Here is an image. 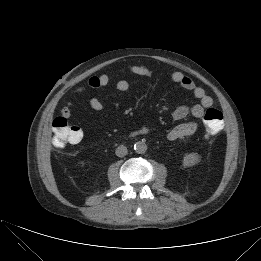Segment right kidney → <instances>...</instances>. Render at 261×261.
I'll list each match as a JSON object with an SVG mask.
<instances>
[{
	"label": "right kidney",
	"instance_id": "right-kidney-1",
	"mask_svg": "<svg viewBox=\"0 0 261 261\" xmlns=\"http://www.w3.org/2000/svg\"><path fill=\"white\" fill-rule=\"evenodd\" d=\"M79 164H80L81 166H84V162H83V161L79 162Z\"/></svg>",
	"mask_w": 261,
	"mask_h": 261
}]
</instances>
